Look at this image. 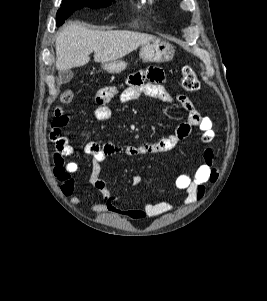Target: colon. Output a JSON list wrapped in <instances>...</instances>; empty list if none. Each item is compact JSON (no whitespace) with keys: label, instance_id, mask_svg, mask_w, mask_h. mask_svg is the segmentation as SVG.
<instances>
[{"label":"colon","instance_id":"1","mask_svg":"<svg viewBox=\"0 0 267 301\" xmlns=\"http://www.w3.org/2000/svg\"><path fill=\"white\" fill-rule=\"evenodd\" d=\"M200 82L195 71L185 66L181 72V87L186 92H192L199 88ZM74 98V93L70 89H66L61 93L60 100L63 103H70Z\"/></svg>","mask_w":267,"mask_h":301}]
</instances>
